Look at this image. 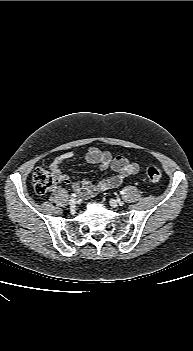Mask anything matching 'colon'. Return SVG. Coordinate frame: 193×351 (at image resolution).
<instances>
[{
	"label": "colon",
	"mask_w": 193,
	"mask_h": 351,
	"mask_svg": "<svg viewBox=\"0 0 193 351\" xmlns=\"http://www.w3.org/2000/svg\"><path fill=\"white\" fill-rule=\"evenodd\" d=\"M146 175L150 181L157 182L162 177V169L152 164L147 168ZM32 184L38 194L44 195L56 187V179L47 170L37 168L32 174Z\"/></svg>",
	"instance_id": "colon-1"
}]
</instances>
